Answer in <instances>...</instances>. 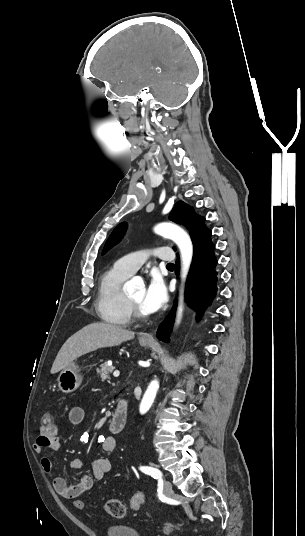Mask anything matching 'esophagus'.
Wrapping results in <instances>:
<instances>
[{
  "instance_id": "34e87169",
  "label": "esophagus",
  "mask_w": 305,
  "mask_h": 536,
  "mask_svg": "<svg viewBox=\"0 0 305 536\" xmlns=\"http://www.w3.org/2000/svg\"><path fill=\"white\" fill-rule=\"evenodd\" d=\"M142 340H143L144 342L154 341V340H153V337L150 336V335H144V336L142 337Z\"/></svg>"
}]
</instances>
